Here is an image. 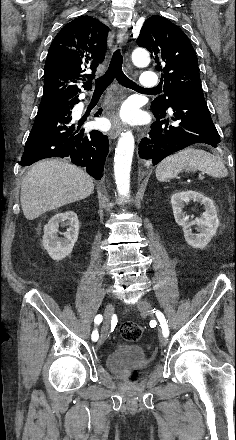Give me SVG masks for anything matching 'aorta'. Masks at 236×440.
Segmentation results:
<instances>
[{
  "label": "aorta",
  "instance_id": "obj_1",
  "mask_svg": "<svg viewBox=\"0 0 236 440\" xmlns=\"http://www.w3.org/2000/svg\"><path fill=\"white\" fill-rule=\"evenodd\" d=\"M132 62L137 67H146L150 63L147 50L136 48L132 52ZM134 136L131 131L121 134L115 150L114 175L117 191L122 197H127L130 191V171L134 153Z\"/></svg>",
  "mask_w": 236,
  "mask_h": 440
}]
</instances>
